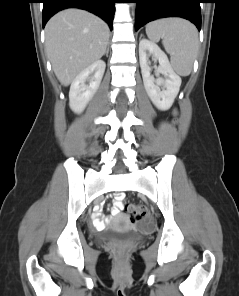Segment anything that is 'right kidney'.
I'll return each instance as SVG.
<instances>
[{
    "instance_id": "1",
    "label": "right kidney",
    "mask_w": 239,
    "mask_h": 296,
    "mask_svg": "<svg viewBox=\"0 0 239 296\" xmlns=\"http://www.w3.org/2000/svg\"><path fill=\"white\" fill-rule=\"evenodd\" d=\"M105 68V62L97 60L76 76L69 91V105L75 113H81L96 93ZM86 82L89 84L87 85Z\"/></svg>"
}]
</instances>
